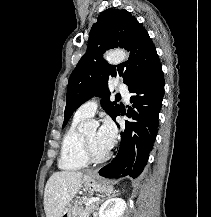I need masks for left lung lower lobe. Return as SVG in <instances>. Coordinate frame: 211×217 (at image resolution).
<instances>
[{"instance_id": "0a47b994", "label": "left lung lower lobe", "mask_w": 211, "mask_h": 217, "mask_svg": "<svg viewBox=\"0 0 211 217\" xmlns=\"http://www.w3.org/2000/svg\"><path fill=\"white\" fill-rule=\"evenodd\" d=\"M164 85L160 64L129 87L132 106L127 116L132 121H126L118 154L99 171L101 176L117 179L126 176L136 178L141 174L156 138Z\"/></svg>"}]
</instances>
